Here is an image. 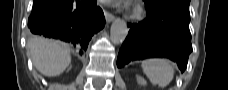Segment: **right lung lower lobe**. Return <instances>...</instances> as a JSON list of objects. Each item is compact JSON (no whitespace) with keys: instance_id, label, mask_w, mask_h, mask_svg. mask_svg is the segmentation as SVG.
Segmentation results:
<instances>
[{"instance_id":"98d812e1","label":"right lung lower lobe","mask_w":228,"mask_h":90,"mask_svg":"<svg viewBox=\"0 0 228 90\" xmlns=\"http://www.w3.org/2000/svg\"><path fill=\"white\" fill-rule=\"evenodd\" d=\"M104 25V14L96 7V0H34L28 19L31 33L68 42L80 55Z\"/></svg>"}]
</instances>
